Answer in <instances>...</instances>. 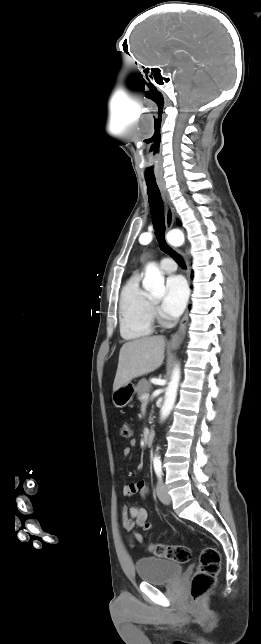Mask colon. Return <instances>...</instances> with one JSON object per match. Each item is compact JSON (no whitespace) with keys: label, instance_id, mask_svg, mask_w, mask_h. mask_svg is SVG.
Masks as SVG:
<instances>
[{"label":"colon","instance_id":"colon-1","mask_svg":"<svg viewBox=\"0 0 261 644\" xmlns=\"http://www.w3.org/2000/svg\"><path fill=\"white\" fill-rule=\"evenodd\" d=\"M120 435L125 439L132 437L133 431L128 422L121 424ZM149 551L157 557L182 564L191 559V550L185 545L151 544ZM220 562L221 556L215 547L207 546L202 549L199 567L190 582V596L193 602H199L215 586Z\"/></svg>","mask_w":261,"mask_h":644}]
</instances>
